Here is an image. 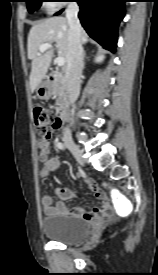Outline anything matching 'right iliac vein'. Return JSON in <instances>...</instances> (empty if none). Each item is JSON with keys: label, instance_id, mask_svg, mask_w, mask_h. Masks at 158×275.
I'll use <instances>...</instances> for the list:
<instances>
[{"label": "right iliac vein", "instance_id": "right-iliac-vein-1", "mask_svg": "<svg viewBox=\"0 0 158 275\" xmlns=\"http://www.w3.org/2000/svg\"><path fill=\"white\" fill-rule=\"evenodd\" d=\"M65 145L69 148V150L77 160H79L80 162L83 161V153L78 145H76L71 139H66Z\"/></svg>", "mask_w": 158, "mask_h": 275}]
</instances>
